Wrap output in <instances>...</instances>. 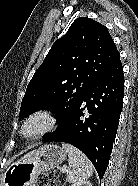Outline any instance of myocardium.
Segmentation results:
<instances>
[{
    "mask_svg": "<svg viewBox=\"0 0 138 186\" xmlns=\"http://www.w3.org/2000/svg\"><path fill=\"white\" fill-rule=\"evenodd\" d=\"M36 120H41L43 122L42 127L36 131L33 134H26L25 130L26 128L34 121ZM57 124V118L56 116L48 111V110H38L35 111L31 114H29L23 121L21 127H20V136L27 140V141H32V140H36L39 139L45 135H47L48 133H50Z\"/></svg>",
    "mask_w": 138,
    "mask_h": 186,
    "instance_id": "obj_1",
    "label": "myocardium"
}]
</instances>
